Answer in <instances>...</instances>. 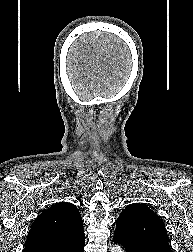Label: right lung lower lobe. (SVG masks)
I'll list each match as a JSON object with an SVG mask.
<instances>
[{
	"instance_id": "obj_1",
	"label": "right lung lower lobe",
	"mask_w": 193,
	"mask_h": 252,
	"mask_svg": "<svg viewBox=\"0 0 193 252\" xmlns=\"http://www.w3.org/2000/svg\"><path fill=\"white\" fill-rule=\"evenodd\" d=\"M85 236L56 252H84Z\"/></svg>"
}]
</instances>
